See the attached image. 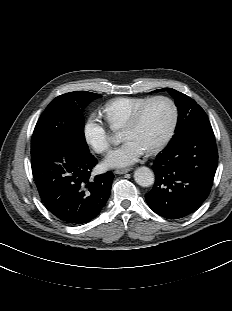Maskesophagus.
<instances>
[{
    "label": "esophagus",
    "instance_id": "1",
    "mask_svg": "<svg viewBox=\"0 0 232 311\" xmlns=\"http://www.w3.org/2000/svg\"><path fill=\"white\" fill-rule=\"evenodd\" d=\"M131 170H132V168H119L115 171V173L116 174H125Z\"/></svg>",
    "mask_w": 232,
    "mask_h": 311
}]
</instances>
